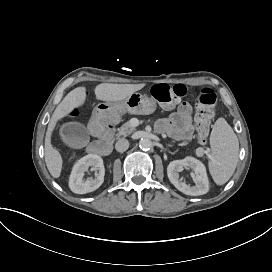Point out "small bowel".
<instances>
[{
  "mask_svg": "<svg viewBox=\"0 0 272 272\" xmlns=\"http://www.w3.org/2000/svg\"><path fill=\"white\" fill-rule=\"evenodd\" d=\"M193 116L192 106L183 102L170 116L158 120L156 129L161 133H168L178 141H188L194 132Z\"/></svg>",
  "mask_w": 272,
  "mask_h": 272,
  "instance_id": "c3829d8e",
  "label": "small bowel"
}]
</instances>
